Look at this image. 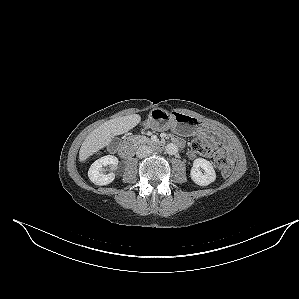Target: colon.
<instances>
[{
    "instance_id": "colon-1",
    "label": "colon",
    "mask_w": 299,
    "mask_h": 299,
    "mask_svg": "<svg viewBox=\"0 0 299 299\" xmlns=\"http://www.w3.org/2000/svg\"><path fill=\"white\" fill-rule=\"evenodd\" d=\"M192 149L204 156L212 157L214 165L224 176H228L230 168L224 152L220 149L212 148L205 145L200 139L196 138L192 141Z\"/></svg>"
}]
</instances>
